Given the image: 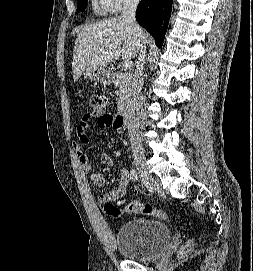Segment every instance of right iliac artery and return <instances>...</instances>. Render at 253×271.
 <instances>
[{
    "label": "right iliac artery",
    "instance_id": "1",
    "mask_svg": "<svg viewBox=\"0 0 253 271\" xmlns=\"http://www.w3.org/2000/svg\"><path fill=\"white\" fill-rule=\"evenodd\" d=\"M130 175H131V178H132L133 181H135V182L138 181V173L136 172L135 169H132L130 171Z\"/></svg>",
    "mask_w": 253,
    "mask_h": 271
}]
</instances>
